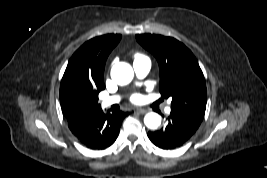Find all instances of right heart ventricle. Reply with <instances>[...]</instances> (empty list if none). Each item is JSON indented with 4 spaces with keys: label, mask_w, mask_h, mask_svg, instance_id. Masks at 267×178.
<instances>
[{
    "label": "right heart ventricle",
    "mask_w": 267,
    "mask_h": 178,
    "mask_svg": "<svg viewBox=\"0 0 267 178\" xmlns=\"http://www.w3.org/2000/svg\"><path fill=\"white\" fill-rule=\"evenodd\" d=\"M145 57H143L141 54H136L135 55V60H138V59H143Z\"/></svg>",
    "instance_id": "1"
}]
</instances>
